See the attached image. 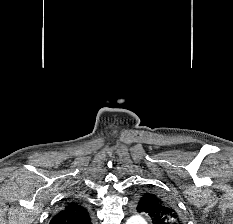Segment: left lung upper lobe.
Returning a JSON list of instances; mask_svg holds the SVG:
<instances>
[{"label": "left lung upper lobe", "mask_w": 233, "mask_h": 224, "mask_svg": "<svg viewBox=\"0 0 233 224\" xmlns=\"http://www.w3.org/2000/svg\"><path fill=\"white\" fill-rule=\"evenodd\" d=\"M138 212L147 213L153 224H184L176 204L160 192L148 190L137 198Z\"/></svg>", "instance_id": "left-lung-upper-lobe-1"}]
</instances>
